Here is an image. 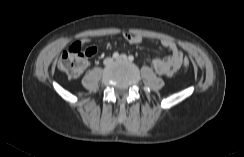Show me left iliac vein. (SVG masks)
Returning a JSON list of instances; mask_svg holds the SVG:
<instances>
[{
  "instance_id": "obj_1",
  "label": "left iliac vein",
  "mask_w": 244,
  "mask_h": 157,
  "mask_svg": "<svg viewBox=\"0 0 244 157\" xmlns=\"http://www.w3.org/2000/svg\"><path fill=\"white\" fill-rule=\"evenodd\" d=\"M116 60H118V61H127V56L122 54Z\"/></svg>"
}]
</instances>
